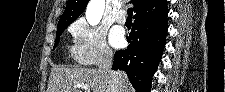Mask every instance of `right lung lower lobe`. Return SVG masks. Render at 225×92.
<instances>
[{"instance_id": "98d812e1", "label": "right lung lower lobe", "mask_w": 225, "mask_h": 92, "mask_svg": "<svg viewBox=\"0 0 225 92\" xmlns=\"http://www.w3.org/2000/svg\"><path fill=\"white\" fill-rule=\"evenodd\" d=\"M168 11L153 17L136 18L127 38V49L114 55L113 70H124L137 92H149L165 46Z\"/></svg>"}]
</instances>
